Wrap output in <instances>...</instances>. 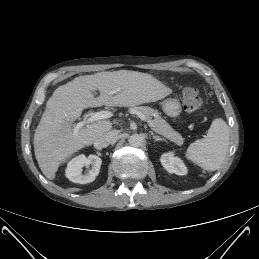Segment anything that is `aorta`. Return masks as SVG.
I'll list each match as a JSON object with an SVG mask.
<instances>
[{
  "mask_svg": "<svg viewBox=\"0 0 259 259\" xmlns=\"http://www.w3.org/2000/svg\"><path fill=\"white\" fill-rule=\"evenodd\" d=\"M128 142L133 147H140L143 143V137L139 134H132L129 136Z\"/></svg>",
  "mask_w": 259,
  "mask_h": 259,
  "instance_id": "762f6f07",
  "label": "aorta"
}]
</instances>
